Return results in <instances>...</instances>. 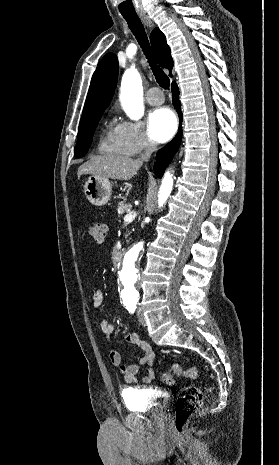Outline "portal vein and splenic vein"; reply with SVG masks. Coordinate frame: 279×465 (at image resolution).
I'll use <instances>...</instances> for the list:
<instances>
[{"mask_svg":"<svg viewBox=\"0 0 279 465\" xmlns=\"http://www.w3.org/2000/svg\"><path fill=\"white\" fill-rule=\"evenodd\" d=\"M136 217V212H129L125 215L124 217V221L125 222H131L135 219Z\"/></svg>","mask_w":279,"mask_h":465,"instance_id":"1","label":"portal vein and splenic vein"}]
</instances>
